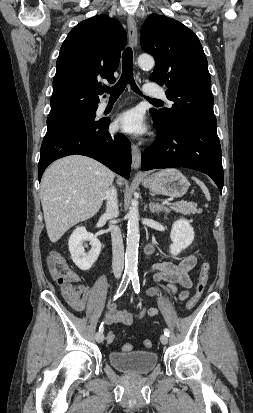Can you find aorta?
<instances>
[{
    "label": "aorta",
    "mask_w": 253,
    "mask_h": 413,
    "mask_svg": "<svg viewBox=\"0 0 253 413\" xmlns=\"http://www.w3.org/2000/svg\"><path fill=\"white\" fill-rule=\"evenodd\" d=\"M138 65L142 69H152L155 65L154 58L147 54L138 57ZM127 246L125 253V270L128 273L137 271L139 247V210L137 201L133 200L128 212Z\"/></svg>",
    "instance_id": "obj_1"
}]
</instances>
